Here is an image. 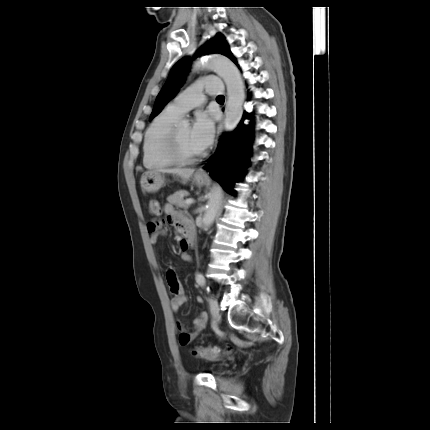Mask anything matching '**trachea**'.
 I'll return each instance as SVG.
<instances>
[{"label": "trachea", "mask_w": 430, "mask_h": 430, "mask_svg": "<svg viewBox=\"0 0 430 430\" xmlns=\"http://www.w3.org/2000/svg\"><path fill=\"white\" fill-rule=\"evenodd\" d=\"M217 100H224L225 98H224V96H218L217 98H216Z\"/></svg>", "instance_id": "1"}]
</instances>
